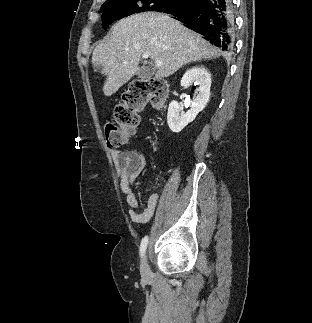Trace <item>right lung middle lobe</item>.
<instances>
[{
  "instance_id": "obj_1",
  "label": "right lung middle lobe",
  "mask_w": 312,
  "mask_h": 323,
  "mask_svg": "<svg viewBox=\"0 0 312 323\" xmlns=\"http://www.w3.org/2000/svg\"><path fill=\"white\" fill-rule=\"evenodd\" d=\"M137 0H114L102 5V22L106 28L111 22L136 12L160 11L178 5L183 0H141L143 5L138 7Z\"/></svg>"
}]
</instances>
